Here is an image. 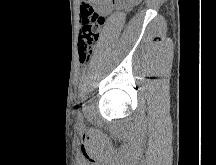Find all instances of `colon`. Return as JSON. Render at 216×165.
Segmentation results:
<instances>
[{"label":"colon","mask_w":216,"mask_h":165,"mask_svg":"<svg viewBox=\"0 0 216 165\" xmlns=\"http://www.w3.org/2000/svg\"><path fill=\"white\" fill-rule=\"evenodd\" d=\"M79 36L78 52L82 63L89 61L94 47L100 38V31L104 24V17L95 10H83Z\"/></svg>","instance_id":"5ec220e1"}]
</instances>
